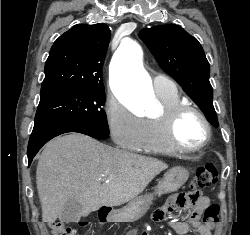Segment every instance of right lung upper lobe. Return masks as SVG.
Returning a JSON list of instances; mask_svg holds the SVG:
<instances>
[{
    "instance_id": "cb5924a9",
    "label": "right lung upper lobe",
    "mask_w": 250,
    "mask_h": 235,
    "mask_svg": "<svg viewBox=\"0 0 250 235\" xmlns=\"http://www.w3.org/2000/svg\"><path fill=\"white\" fill-rule=\"evenodd\" d=\"M110 40L104 23L77 24L53 44L45 64L41 97L54 93L104 87L102 67Z\"/></svg>"
}]
</instances>
